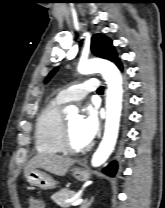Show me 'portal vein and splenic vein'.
<instances>
[{
    "instance_id": "obj_1",
    "label": "portal vein and splenic vein",
    "mask_w": 165,
    "mask_h": 208,
    "mask_svg": "<svg viewBox=\"0 0 165 208\" xmlns=\"http://www.w3.org/2000/svg\"><path fill=\"white\" fill-rule=\"evenodd\" d=\"M67 202H70L72 206H77L82 203L83 199L82 198H74L70 200H66Z\"/></svg>"
}]
</instances>
